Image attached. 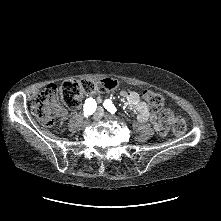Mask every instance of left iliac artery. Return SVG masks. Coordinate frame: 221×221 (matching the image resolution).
Wrapping results in <instances>:
<instances>
[{"mask_svg": "<svg viewBox=\"0 0 221 221\" xmlns=\"http://www.w3.org/2000/svg\"><path fill=\"white\" fill-rule=\"evenodd\" d=\"M103 106L111 113V114H115V112L117 111L116 107L112 104L111 100H105L103 103Z\"/></svg>", "mask_w": 221, "mask_h": 221, "instance_id": "obj_1", "label": "left iliac artery"}]
</instances>
